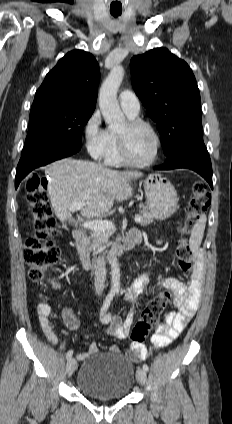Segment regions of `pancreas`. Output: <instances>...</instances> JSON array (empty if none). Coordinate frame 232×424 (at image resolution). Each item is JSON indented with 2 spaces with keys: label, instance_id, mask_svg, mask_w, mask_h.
Instances as JSON below:
<instances>
[{
  "label": "pancreas",
  "instance_id": "obj_1",
  "mask_svg": "<svg viewBox=\"0 0 232 424\" xmlns=\"http://www.w3.org/2000/svg\"><path fill=\"white\" fill-rule=\"evenodd\" d=\"M141 221L139 222L142 226H147L150 223L153 222V215L149 211L147 207L144 205H140V215ZM114 233V230H99L94 231L91 236L88 238L87 243L91 249H105L107 246L110 245L108 243V239L110 236H112Z\"/></svg>",
  "mask_w": 232,
  "mask_h": 424
}]
</instances>
